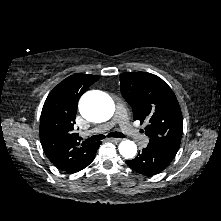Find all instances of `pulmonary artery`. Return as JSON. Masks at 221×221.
I'll return each instance as SVG.
<instances>
[{"label":"pulmonary artery","mask_w":221,"mask_h":221,"mask_svg":"<svg viewBox=\"0 0 221 221\" xmlns=\"http://www.w3.org/2000/svg\"><path fill=\"white\" fill-rule=\"evenodd\" d=\"M115 124H118L121 130L129 135L134 137L137 141H139L142 145H146L148 142V138L144 135H140L137 130L128 122V118L123 106L118 105L116 108V115L114 119L108 123H106L103 127L96 130V132H102L112 128Z\"/></svg>","instance_id":"e3ab8cb5"}]
</instances>
